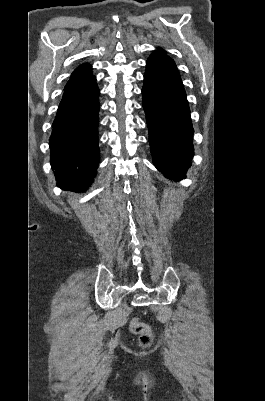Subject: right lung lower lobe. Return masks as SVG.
<instances>
[{
	"label": "right lung lower lobe",
	"mask_w": 265,
	"mask_h": 401,
	"mask_svg": "<svg viewBox=\"0 0 265 401\" xmlns=\"http://www.w3.org/2000/svg\"><path fill=\"white\" fill-rule=\"evenodd\" d=\"M96 82L64 91L52 124L50 163L57 185L70 190L87 189L99 162Z\"/></svg>",
	"instance_id": "obj_1"
}]
</instances>
